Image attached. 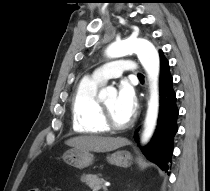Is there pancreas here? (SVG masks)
Masks as SVG:
<instances>
[{
    "instance_id": "obj_1",
    "label": "pancreas",
    "mask_w": 210,
    "mask_h": 191,
    "mask_svg": "<svg viewBox=\"0 0 210 191\" xmlns=\"http://www.w3.org/2000/svg\"><path fill=\"white\" fill-rule=\"evenodd\" d=\"M81 181L84 182L89 188H91L93 191H98L101 188H105V180L103 178H100L97 175H82Z\"/></svg>"
}]
</instances>
